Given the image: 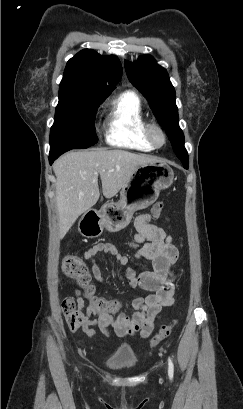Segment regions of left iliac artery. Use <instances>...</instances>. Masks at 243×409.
<instances>
[{"label": "left iliac artery", "mask_w": 243, "mask_h": 409, "mask_svg": "<svg viewBox=\"0 0 243 409\" xmlns=\"http://www.w3.org/2000/svg\"><path fill=\"white\" fill-rule=\"evenodd\" d=\"M173 373H174V365H173L171 358L169 357L168 358V375L170 379L173 378Z\"/></svg>", "instance_id": "left-iliac-artery-1"}]
</instances>
